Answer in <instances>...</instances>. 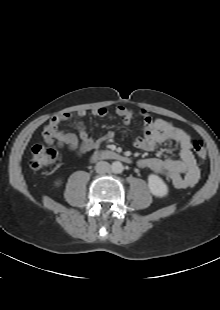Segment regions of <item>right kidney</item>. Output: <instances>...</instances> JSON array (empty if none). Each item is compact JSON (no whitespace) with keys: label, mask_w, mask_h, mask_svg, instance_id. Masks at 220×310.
I'll list each match as a JSON object with an SVG mask.
<instances>
[{"label":"right kidney","mask_w":220,"mask_h":310,"mask_svg":"<svg viewBox=\"0 0 220 310\" xmlns=\"http://www.w3.org/2000/svg\"><path fill=\"white\" fill-rule=\"evenodd\" d=\"M60 183H61V181H56L55 185H56V186H59Z\"/></svg>","instance_id":"right-kidney-1"}]
</instances>
